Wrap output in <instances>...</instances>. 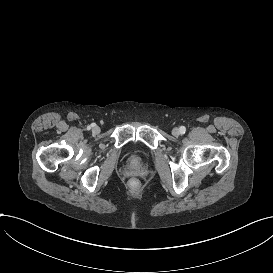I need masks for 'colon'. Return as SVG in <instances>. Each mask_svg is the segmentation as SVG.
<instances>
[{"mask_svg": "<svg viewBox=\"0 0 273 273\" xmlns=\"http://www.w3.org/2000/svg\"><path fill=\"white\" fill-rule=\"evenodd\" d=\"M140 186H141V183H140L138 178L133 177V178L130 179L129 187H130L131 190L136 191V190H138L140 188Z\"/></svg>", "mask_w": 273, "mask_h": 273, "instance_id": "5ec220e1", "label": "colon"}]
</instances>
